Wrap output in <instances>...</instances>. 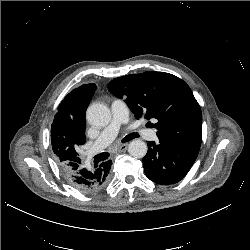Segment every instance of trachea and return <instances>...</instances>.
I'll return each instance as SVG.
<instances>
[{
	"label": "trachea",
	"mask_w": 250,
	"mask_h": 250,
	"mask_svg": "<svg viewBox=\"0 0 250 250\" xmlns=\"http://www.w3.org/2000/svg\"><path fill=\"white\" fill-rule=\"evenodd\" d=\"M139 137L138 133H131V134H128L123 140L122 142H128L134 138H137ZM103 158L106 159L108 158L109 154L108 153H103L102 154Z\"/></svg>",
	"instance_id": "1"
}]
</instances>
